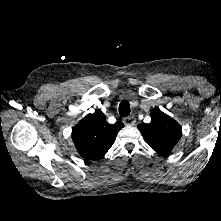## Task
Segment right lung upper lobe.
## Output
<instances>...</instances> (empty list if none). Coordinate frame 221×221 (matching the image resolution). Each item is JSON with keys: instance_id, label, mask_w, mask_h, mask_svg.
Returning <instances> with one entry per match:
<instances>
[{"instance_id": "1", "label": "right lung upper lobe", "mask_w": 221, "mask_h": 221, "mask_svg": "<svg viewBox=\"0 0 221 221\" xmlns=\"http://www.w3.org/2000/svg\"><path fill=\"white\" fill-rule=\"evenodd\" d=\"M102 112L86 115L72 130V139L82 157L100 159L113 145L123 123L110 125Z\"/></svg>"}]
</instances>
